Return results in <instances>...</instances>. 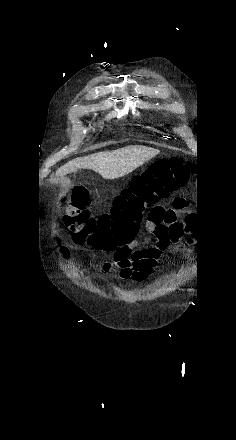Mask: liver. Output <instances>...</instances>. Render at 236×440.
<instances>
[{"label": "liver", "instance_id": "6515ba94", "mask_svg": "<svg viewBox=\"0 0 236 440\" xmlns=\"http://www.w3.org/2000/svg\"><path fill=\"white\" fill-rule=\"evenodd\" d=\"M158 154V149L144 146H127L98 152L69 161L56 171V176L63 177L78 169H91L104 179H117L131 173Z\"/></svg>", "mask_w": 236, "mask_h": 440}]
</instances>
